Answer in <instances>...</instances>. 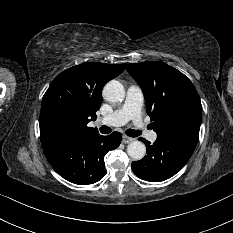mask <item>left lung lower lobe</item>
<instances>
[{"label": "left lung lower lobe", "instance_id": "obj_1", "mask_svg": "<svg viewBox=\"0 0 233 233\" xmlns=\"http://www.w3.org/2000/svg\"><path fill=\"white\" fill-rule=\"evenodd\" d=\"M147 147V155L141 161L132 162L134 174L146 181H164L180 171L191 157L196 139L190 137L159 138L151 145L140 138Z\"/></svg>", "mask_w": 233, "mask_h": 233}]
</instances>
